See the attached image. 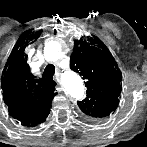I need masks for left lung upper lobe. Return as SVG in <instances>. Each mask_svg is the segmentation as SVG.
<instances>
[{
    "label": "left lung upper lobe",
    "instance_id": "left-lung-upper-lobe-1",
    "mask_svg": "<svg viewBox=\"0 0 147 147\" xmlns=\"http://www.w3.org/2000/svg\"><path fill=\"white\" fill-rule=\"evenodd\" d=\"M70 59L88 89L87 98L78 104L80 109L93 118L108 116L119 102L121 75L107 48L96 37L90 43L80 40Z\"/></svg>",
    "mask_w": 147,
    "mask_h": 147
}]
</instances>
